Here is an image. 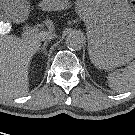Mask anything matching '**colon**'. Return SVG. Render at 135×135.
I'll return each instance as SVG.
<instances>
[{"label": "colon", "instance_id": "colon-1", "mask_svg": "<svg viewBox=\"0 0 135 135\" xmlns=\"http://www.w3.org/2000/svg\"><path fill=\"white\" fill-rule=\"evenodd\" d=\"M130 4L135 9V0H130Z\"/></svg>", "mask_w": 135, "mask_h": 135}]
</instances>
